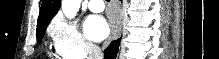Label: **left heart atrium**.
<instances>
[{"label": "left heart atrium", "mask_w": 219, "mask_h": 59, "mask_svg": "<svg viewBox=\"0 0 219 59\" xmlns=\"http://www.w3.org/2000/svg\"><path fill=\"white\" fill-rule=\"evenodd\" d=\"M84 31L86 36L92 41H101L109 33V26L103 16L89 15L84 21Z\"/></svg>", "instance_id": "1"}]
</instances>
